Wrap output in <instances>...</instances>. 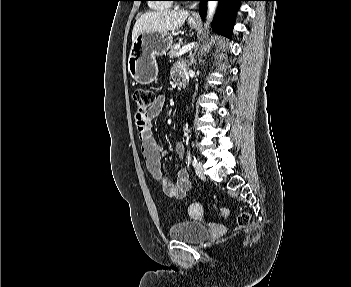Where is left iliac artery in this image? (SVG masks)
Listing matches in <instances>:
<instances>
[{
  "instance_id": "1",
  "label": "left iliac artery",
  "mask_w": 351,
  "mask_h": 287,
  "mask_svg": "<svg viewBox=\"0 0 351 287\" xmlns=\"http://www.w3.org/2000/svg\"><path fill=\"white\" fill-rule=\"evenodd\" d=\"M196 163H197V160H196V158H195V157H193V158H192V165H193V166H195V165H196Z\"/></svg>"
}]
</instances>
